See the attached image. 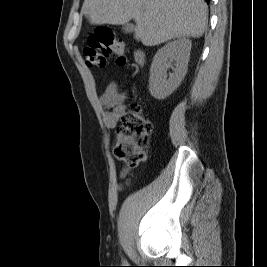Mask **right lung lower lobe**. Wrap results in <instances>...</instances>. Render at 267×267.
Wrapping results in <instances>:
<instances>
[{
	"instance_id": "1",
	"label": "right lung lower lobe",
	"mask_w": 267,
	"mask_h": 267,
	"mask_svg": "<svg viewBox=\"0 0 267 267\" xmlns=\"http://www.w3.org/2000/svg\"><path fill=\"white\" fill-rule=\"evenodd\" d=\"M210 0H206L207 3H209Z\"/></svg>"
}]
</instances>
